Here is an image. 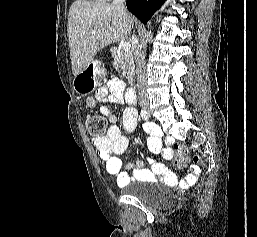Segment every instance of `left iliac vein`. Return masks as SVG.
I'll return each mask as SVG.
<instances>
[{
	"instance_id": "obj_1",
	"label": "left iliac vein",
	"mask_w": 257,
	"mask_h": 237,
	"mask_svg": "<svg viewBox=\"0 0 257 237\" xmlns=\"http://www.w3.org/2000/svg\"><path fill=\"white\" fill-rule=\"evenodd\" d=\"M151 115V113H150V111L148 112V116H150Z\"/></svg>"
}]
</instances>
